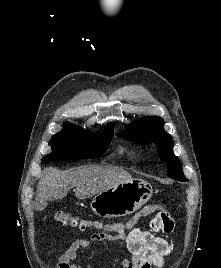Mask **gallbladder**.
Returning a JSON list of instances; mask_svg holds the SVG:
<instances>
[{
	"label": "gallbladder",
	"mask_w": 221,
	"mask_h": 268,
	"mask_svg": "<svg viewBox=\"0 0 221 268\" xmlns=\"http://www.w3.org/2000/svg\"><path fill=\"white\" fill-rule=\"evenodd\" d=\"M45 202H38V205H35V210H38V213H45Z\"/></svg>",
	"instance_id": "gallbladder-1"
}]
</instances>
